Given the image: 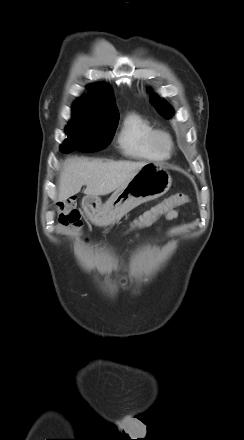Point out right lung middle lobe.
I'll return each mask as SVG.
<instances>
[{
	"instance_id": "right-lung-middle-lobe-1",
	"label": "right lung middle lobe",
	"mask_w": 244,
	"mask_h": 440,
	"mask_svg": "<svg viewBox=\"0 0 244 440\" xmlns=\"http://www.w3.org/2000/svg\"><path fill=\"white\" fill-rule=\"evenodd\" d=\"M117 124L96 125L80 121H71L66 127L68 138L61 145V152L67 154L74 150L95 152L106 148L111 142Z\"/></svg>"
}]
</instances>
